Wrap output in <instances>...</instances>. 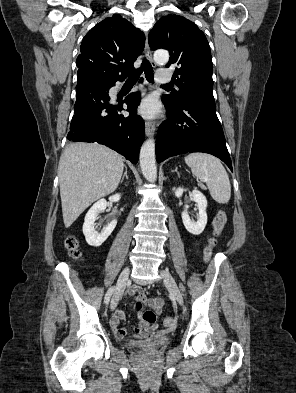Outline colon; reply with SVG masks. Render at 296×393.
Instances as JSON below:
<instances>
[{"mask_svg": "<svg viewBox=\"0 0 296 393\" xmlns=\"http://www.w3.org/2000/svg\"><path fill=\"white\" fill-rule=\"evenodd\" d=\"M225 224H226V214L223 210H219L213 221V238L210 239L209 244L204 250L205 259L210 258L212 254V250L216 243V238L222 233ZM66 246L72 257L79 256L80 253L78 250V242L74 237H68L66 239ZM135 310L144 322L148 324L155 323L156 321L155 312L152 310L145 309L141 301L139 300L137 301L135 305ZM164 325L167 329H173L176 326V321L172 318H167L164 321Z\"/></svg>", "mask_w": 296, "mask_h": 393, "instance_id": "colon-1", "label": "colon"}]
</instances>
